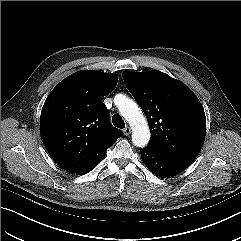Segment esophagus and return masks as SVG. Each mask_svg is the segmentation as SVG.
Wrapping results in <instances>:
<instances>
[{"mask_svg": "<svg viewBox=\"0 0 241 241\" xmlns=\"http://www.w3.org/2000/svg\"><path fill=\"white\" fill-rule=\"evenodd\" d=\"M123 133H124V135L128 136L131 133V128L129 126H126L123 129Z\"/></svg>", "mask_w": 241, "mask_h": 241, "instance_id": "34e87169", "label": "esophagus"}]
</instances>
